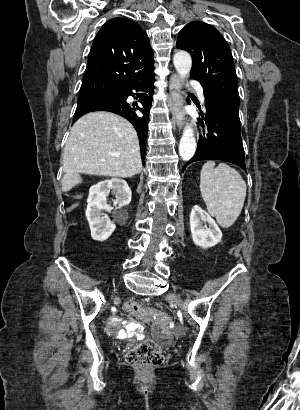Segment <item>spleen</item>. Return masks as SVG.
<instances>
[{"label":"spleen","instance_id":"1","mask_svg":"<svg viewBox=\"0 0 300 410\" xmlns=\"http://www.w3.org/2000/svg\"><path fill=\"white\" fill-rule=\"evenodd\" d=\"M200 191L208 212L218 224L228 228L239 217L246 197V183L241 175L226 163L215 167L206 162L200 174Z\"/></svg>","mask_w":300,"mask_h":410}]
</instances>
